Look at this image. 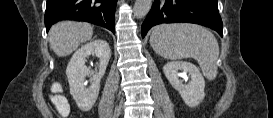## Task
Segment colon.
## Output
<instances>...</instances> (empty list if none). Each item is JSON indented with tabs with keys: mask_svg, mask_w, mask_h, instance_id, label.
Listing matches in <instances>:
<instances>
[{
	"mask_svg": "<svg viewBox=\"0 0 273 118\" xmlns=\"http://www.w3.org/2000/svg\"><path fill=\"white\" fill-rule=\"evenodd\" d=\"M59 86H55V89H58ZM52 101L55 104L58 112L62 115V116H66L69 112V106L67 103V100L64 96L59 95V94H55L52 97Z\"/></svg>",
	"mask_w": 273,
	"mask_h": 118,
	"instance_id": "colon-1",
	"label": "colon"
}]
</instances>
